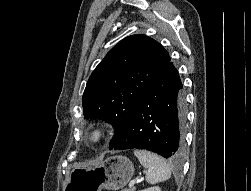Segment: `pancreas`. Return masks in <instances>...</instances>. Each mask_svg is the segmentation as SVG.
Segmentation results:
<instances>
[{
  "label": "pancreas",
  "instance_id": "cf45deb5",
  "mask_svg": "<svg viewBox=\"0 0 251 191\" xmlns=\"http://www.w3.org/2000/svg\"><path fill=\"white\" fill-rule=\"evenodd\" d=\"M123 191H135V187H131V189H127V187H125V189H123Z\"/></svg>",
  "mask_w": 251,
  "mask_h": 191
}]
</instances>
